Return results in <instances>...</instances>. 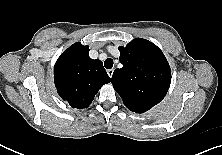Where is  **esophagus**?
<instances>
[{"label": "esophagus", "mask_w": 222, "mask_h": 155, "mask_svg": "<svg viewBox=\"0 0 222 155\" xmlns=\"http://www.w3.org/2000/svg\"><path fill=\"white\" fill-rule=\"evenodd\" d=\"M114 70L113 69H108L107 70V74L109 75V77H112Z\"/></svg>", "instance_id": "obj_1"}]
</instances>
